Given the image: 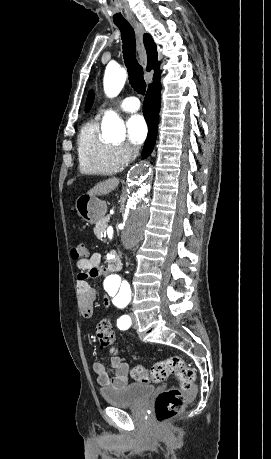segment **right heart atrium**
<instances>
[{
	"instance_id": "obj_1",
	"label": "right heart atrium",
	"mask_w": 271,
	"mask_h": 459,
	"mask_svg": "<svg viewBox=\"0 0 271 459\" xmlns=\"http://www.w3.org/2000/svg\"><path fill=\"white\" fill-rule=\"evenodd\" d=\"M136 150L126 143L115 145V156L122 163H129L136 156Z\"/></svg>"
}]
</instances>
